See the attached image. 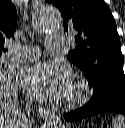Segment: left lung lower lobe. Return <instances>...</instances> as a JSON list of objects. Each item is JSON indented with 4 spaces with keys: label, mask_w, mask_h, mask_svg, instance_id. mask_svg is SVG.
Returning a JSON list of instances; mask_svg holds the SVG:
<instances>
[{
    "label": "left lung lower lobe",
    "mask_w": 125,
    "mask_h": 128,
    "mask_svg": "<svg viewBox=\"0 0 125 128\" xmlns=\"http://www.w3.org/2000/svg\"><path fill=\"white\" fill-rule=\"evenodd\" d=\"M104 112H116L125 115V83L115 84L98 100H89L83 107L64 114L68 122H76Z\"/></svg>",
    "instance_id": "0a47b994"
}]
</instances>
